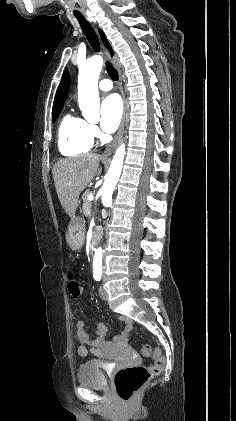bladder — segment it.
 Instances as JSON below:
<instances>
[{
	"instance_id": "obj_1",
	"label": "bladder",
	"mask_w": 236,
	"mask_h": 421,
	"mask_svg": "<svg viewBox=\"0 0 236 421\" xmlns=\"http://www.w3.org/2000/svg\"><path fill=\"white\" fill-rule=\"evenodd\" d=\"M77 383L88 386L90 389L103 390L106 387L105 374L97 359L81 363L76 373Z\"/></svg>"
}]
</instances>
